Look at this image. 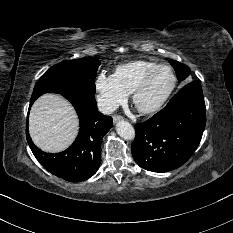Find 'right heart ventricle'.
<instances>
[{"label":"right heart ventricle","instance_id":"1","mask_svg":"<svg viewBox=\"0 0 233 233\" xmlns=\"http://www.w3.org/2000/svg\"><path fill=\"white\" fill-rule=\"evenodd\" d=\"M159 64L146 60H136L116 67L114 77L118 84L131 94L142 78Z\"/></svg>","mask_w":233,"mask_h":233}]
</instances>
